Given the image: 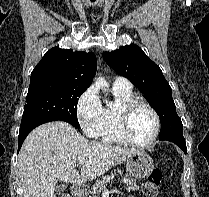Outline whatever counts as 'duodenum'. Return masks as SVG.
<instances>
[{
    "instance_id": "duodenum-1",
    "label": "duodenum",
    "mask_w": 209,
    "mask_h": 197,
    "mask_svg": "<svg viewBox=\"0 0 209 197\" xmlns=\"http://www.w3.org/2000/svg\"><path fill=\"white\" fill-rule=\"evenodd\" d=\"M72 192L75 197H82L86 194L87 189L84 185L77 184L73 186Z\"/></svg>"
}]
</instances>
